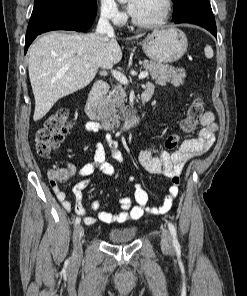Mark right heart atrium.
<instances>
[{"instance_id": "obj_1", "label": "right heart atrium", "mask_w": 247, "mask_h": 296, "mask_svg": "<svg viewBox=\"0 0 247 296\" xmlns=\"http://www.w3.org/2000/svg\"><path fill=\"white\" fill-rule=\"evenodd\" d=\"M98 10L102 18L114 24L119 25L125 21V14L115 0H98Z\"/></svg>"}]
</instances>
